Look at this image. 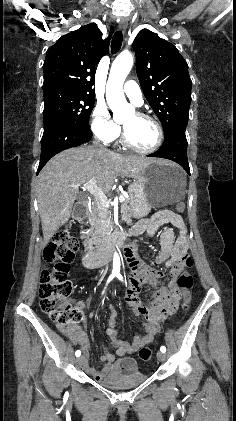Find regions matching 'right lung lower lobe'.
I'll return each mask as SVG.
<instances>
[{
	"label": "right lung lower lobe",
	"mask_w": 236,
	"mask_h": 421,
	"mask_svg": "<svg viewBox=\"0 0 236 421\" xmlns=\"http://www.w3.org/2000/svg\"><path fill=\"white\" fill-rule=\"evenodd\" d=\"M92 133L68 127L55 126L43 133L41 140V156L37 174L55 154L90 141Z\"/></svg>",
	"instance_id": "obj_1"
}]
</instances>
